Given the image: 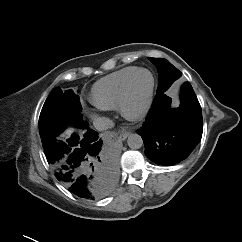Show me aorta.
<instances>
[{
    "label": "aorta",
    "instance_id": "obj_1",
    "mask_svg": "<svg viewBox=\"0 0 242 242\" xmlns=\"http://www.w3.org/2000/svg\"><path fill=\"white\" fill-rule=\"evenodd\" d=\"M127 144L131 149H139L143 146L142 137L139 134H130L127 138Z\"/></svg>",
    "mask_w": 242,
    "mask_h": 242
}]
</instances>
